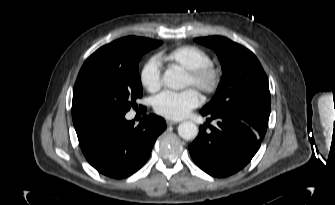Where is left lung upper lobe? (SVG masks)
I'll list each match as a JSON object with an SVG mask.
<instances>
[{
	"label": "left lung upper lobe",
	"mask_w": 335,
	"mask_h": 205,
	"mask_svg": "<svg viewBox=\"0 0 335 205\" xmlns=\"http://www.w3.org/2000/svg\"><path fill=\"white\" fill-rule=\"evenodd\" d=\"M195 41L215 50L223 72L214 97L201 112L246 113L268 121V79L256 56L242 45L221 36L196 38Z\"/></svg>",
	"instance_id": "left-lung-upper-lobe-1"
}]
</instances>
